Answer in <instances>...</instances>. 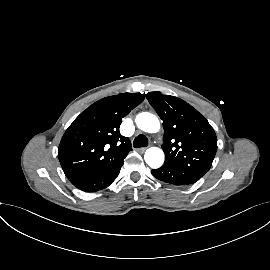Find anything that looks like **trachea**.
Wrapping results in <instances>:
<instances>
[{"mask_svg":"<svg viewBox=\"0 0 270 270\" xmlns=\"http://www.w3.org/2000/svg\"><path fill=\"white\" fill-rule=\"evenodd\" d=\"M133 146L135 148L147 147L148 146V138L145 135H143V134L138 135L134 139Z\"/></svg>","mask_w":270,"mask_h":270,"instance_id":"1","label":"trachea"}]
</instances>
